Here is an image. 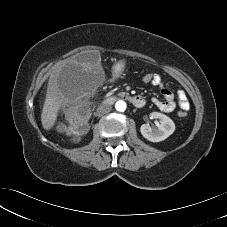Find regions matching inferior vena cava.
I'll return each instance as SVG.
<instances>
[{
    "mask_svg": "<svg viewBox=\"0 0 227 227\" xmlns=\"http://www.w3.org/2000/svg\"><path fill=\"white\" fill-rule=\"evenodd\" d=\"M111 110H112L111 105L103 103L97 108L96 114L98 116H102V115H104L106 113H109Z\"/></svg>",
    "mask_w": 227,
    "mask_h": 227,
    "instance_id": "obj_1",
    "label": "inferior vena cava"
}]
</instances>
